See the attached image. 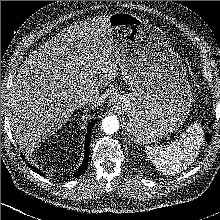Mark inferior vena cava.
<instances>
[{
  "label": "inferior vena cava",
  "instance_id": "602c4592",
  "mask_svg": "<svg viewBox=\"0 0 220 220\" xmlns=\"http://www.w3.org/2000/svg\"><path fill=\"white\" fill-rule=\"evenodd\" d=\"M96 100V96L92 93H84L80 96V98L77 100V104L79 107H83L85 105H88Z\"/></svg>",
  "mask_w": 220,
  "mask_h": 220
}]
</instances>
